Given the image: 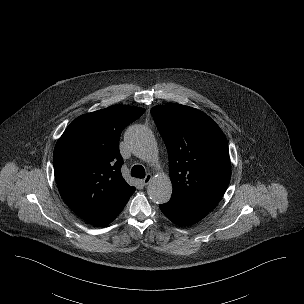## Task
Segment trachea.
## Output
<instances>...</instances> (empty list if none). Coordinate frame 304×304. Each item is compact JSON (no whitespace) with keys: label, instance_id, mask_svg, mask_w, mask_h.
<instances>
[{"label":"trachea","instance_id":"trachea-1","mask_svg":"<svg viewBox=\"0 0 304 304\" xmlns=\"http://www.w3.org/2000/svg\"><path fill=\"white\" fill-rule=\"evenodd\" d=\"M131 176L136 178H144L145 177V169L141 165H135L131 169Z\"/></svg>","mask_w":304,"mask_h":304}]
</instances>
